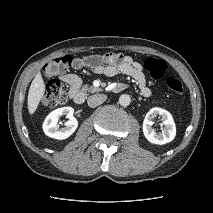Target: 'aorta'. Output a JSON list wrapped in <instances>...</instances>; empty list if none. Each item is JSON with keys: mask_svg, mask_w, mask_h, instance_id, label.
Returning <instances> with one entry per match:
<instances>
[{"mask_svg": "<svg viewBox=\"0 0 213 213\" xmlns=\"http://www.w3.org/2000/svg\"><path fill=\"white\" fill-rule=\"evenodd\" d=\"M130 103H131V98H130L129 95L123 94V95H121V96L119 97V104H120L121 106L126 107V106H128Z\"/></svg>", "mask_w": 213, "mask_h": 213, "instance_id": "aorta-1", "label": "aorta"}]
</instances>
